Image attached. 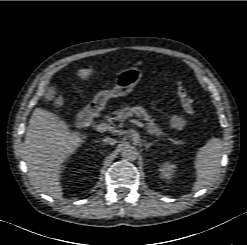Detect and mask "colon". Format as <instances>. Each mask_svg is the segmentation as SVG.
I'll list each match as a JSON object with an SVG mask.
<instances>
[{
	"label": "colon",
	"mask_w": 247,
	"mask_h": 245,
	"mask_svg": "<svg viewBox=\"0 0 247 245\" xmlns=\"http://www.w3.org/2000/svg\"><path fill=\"white\" fill-rule=\"evenodd\" d=\"M177 96L179 98L180 105L185 112L186 116L174 115L170 119V126L173 129L180 130L184 128L187 124V117L194 114V101L189 91L182 82L177 85ZM61 98L56 99V105H61Z\"/></svg>",
	"instance_id": "obj_1"
}]
</instances>
